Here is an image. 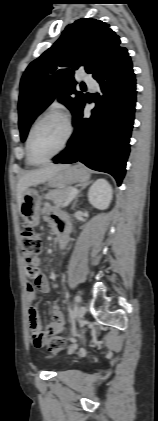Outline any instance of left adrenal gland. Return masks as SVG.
<instances>
[{
	"instance_id": "a2214340",
	"label": "left adrenal gland",
	"mask_w": 158,
	"mask_h": 421,
	"mask_svg": "<svg viewBox=\"0 0 158 421\" xmlns=\"http://www.w3.org/2000/svg\"><path fill=\"white\" fill-rule=\"evenodd\" d=\"M91 182H92V181H88V182H86V183L82 184V187H81V189H80V190H79V192H78V195H77V197H76V200H75V202H74V204H73V207H72V208H74V207L76 206L77 199H78V197L80 196V193L82 192V190H83L84 188H86V186H88Z\"/></svg>"
}]
</instances>
